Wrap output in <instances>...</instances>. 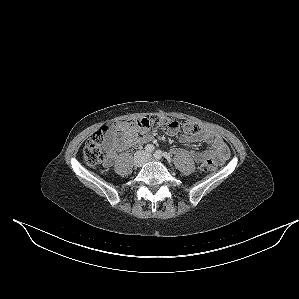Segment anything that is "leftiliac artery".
<instances>
[{
    "label": "left iliac artery",
    "mask_w": 299,
    "mask_h": 299,
    "mask_svg": "<svg viewBox=\"0 0 299 299\" xmlns=\"http://www.w3.org/2000/svg\"><path fill=\"white\" fill-rule=\"evenodd\" d=\"M163 156H164L166 159H170V157H169L168 155L164 154V153H163L162 151H160V150H157V151L154 153V157H155L156 159H161Z\"/></svg>",
    "instance_id": "left-iliac-artery-1"
}]
</instances>
